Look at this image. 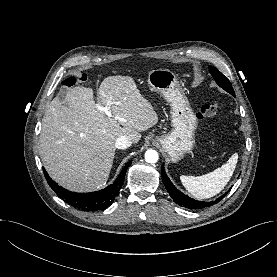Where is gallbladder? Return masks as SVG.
Masks as SVG:
<instances>
[{"label": "gallbladder", "mask_w": 277, "mask_h": 277, "mask_svg": "<svg viewBox=\"0 0 277 277\" xmlns=\"http://www.w3.org/2000/svg\"><path fill=\"white\" fill-rule=\"evenodd\" d=\"M65 94H66V89H61V90H60V93H59V98H60V99H63L64 96H65Z\"/></svg>", "instance_id": "1"}]
</instances>
